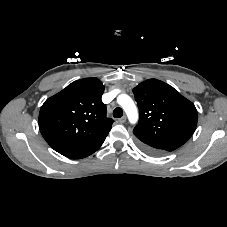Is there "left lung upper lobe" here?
Segmentation results:
<instances>
[{"instance_id":"left-lung-upper-lobe-1","label":"left lung upper lobe","mask_w":227,"mask_h":227,"mask_svg":"<svg viewBox=\"0 0 227 227\" xmlns=\"http://www.w3.org/2000/svg\"><path fill=\"white\" fill-rule=\"evenodd\" d=\"M139 108V123L133 130L145 147L170 152L182 146L194 133L197 110L172 86L149 79L133 89Z\"/></svg>"}]
</instances>
